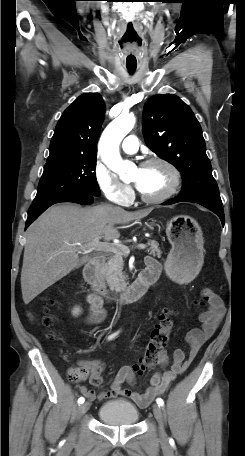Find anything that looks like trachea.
I'll list each match as a JSON object with an SVG mask.
<instances>
[{
    "instance_id": "1",
    "label": "trachea",
    "mask_w": 245,
    "mask_h": 456,
    "mask_svg": "<svg viewBox=\"0 0 245 456\" xmlns=\"http://www.w3.org/2000/svg\"><path fill=\"white\" fill-rule=\"evenodd\" d=\"M127 69L129 70L130 73H132V72L135 71L136 67H129V66H128Z\"/></svg>"
}]
</instances>
